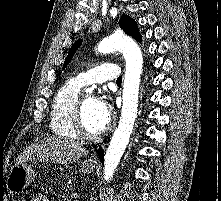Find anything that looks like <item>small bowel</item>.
<instances>
[{"label": "small bowel", "instance_id": "small-bowel-1", "mask_svg": "<svg viewBox=\"0 0 221 201\" xmlns=\"http://www.w3.org/2000/svg\"><path fill=\"white\" fill-rule=\"evenodd\" d=\"M30 201H49V199L43 194H37Z\"/></svg>", "mask_w": 221, "mask_h": 201}]
</instances>
